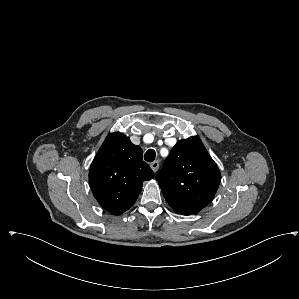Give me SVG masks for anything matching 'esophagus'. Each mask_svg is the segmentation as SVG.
Instances as JSON below:
<instances>
[{"label":"esophagus","mask_w":299,"mask_h":299,"mask_svg":"<svg viewBox=\"0 0 299 299\" xmlns=\"http://www.w3.org/2000/svg\"><path fill=\"white\" fill-rule=\"evenodd\" d=\"M159 165V161L156 160L150 164V167L154 172H157L159 169Z\"/></svg>","instance_id":"obj_1"}]
</instances>
